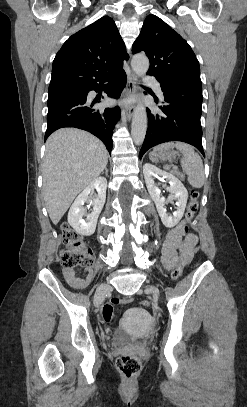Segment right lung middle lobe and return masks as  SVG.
Masks as SVG:
<instances>
[{
    "label": "right lung middle lobe",
    "mask_w": 247,
    "mask_h": 407,
    "mask_svg": "<svg viewBox=\"0 0 247 407\" xmlns=\"http://www.w3.org/2000/svg\"><path fill=\"white\" fill-rule=\"evenodd\" d=\"M86 87H65L48 90V104L69 97L86 95Z\"/></svg>",
    "instance_id": "right-lung-middle-lobe-1"
}]
</instances>
